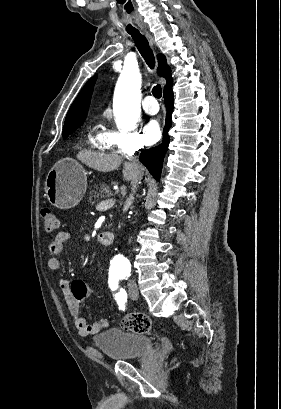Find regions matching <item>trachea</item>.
Instances as JSON below:
<instances>
[{
    "instance_id": "obj_1",
    "label": "trachea",
    "mask_w": 281,
    "mask_h": 409,
    "mask_svg": "<svg viewBox=\"0 0 281 409\" xmlns=\"http://www.w3.org/2000/svg\"><path fill=\"white\" fill-rule=\"evenodd\" d=\"M132 39L135 42L137 49L139 50L140 54L144 58L147 65L150 69H154L155 66V58L153 52L149 46L148 40L142 35L140 32H129ZM152 94L155 98L159 99L162 97V88L161 85H155L152 89Z\"/></svg>"
}]
</instances>
